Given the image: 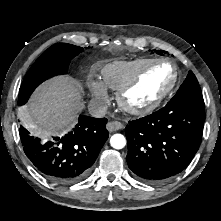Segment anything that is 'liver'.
Listing matches in <instances>:
<instances>
[{"label":"liver","mask_w":221,"mask_h":221,"mask_svg":"<svg viewBox=\"0 0 221 221\" xmlns=\"http://www.w3.org/2000/svg\"><path fill=\"white\" fill-rule=\"evenodd\" d=\"M82 87L69 77H56L42 84L21 114L30 129L46 137L69 131L82 110Z\"/></svg>","instance_id":"obj_1"}]
</instances>
